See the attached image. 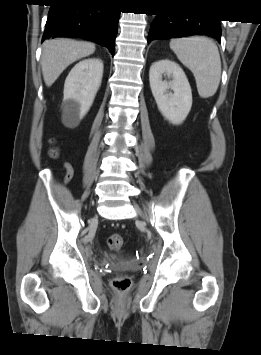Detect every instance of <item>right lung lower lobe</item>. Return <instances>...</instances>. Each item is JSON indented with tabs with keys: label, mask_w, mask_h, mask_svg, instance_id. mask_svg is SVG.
I'll use <instances>...</instances> for the list:
<instances>
[{
	"label": "right lung lower lobe",
	"mask_w": 261,
	"mask_h": 355,
	"mask_svg": "<svg viewBox=\"0 0 261 355\" xmlns=\"http://www.w3.org/2000/svg\"><path fill=\"white\" fill-rule=\"evenodd\" d=\"M42 41L84 38L105 45L114 56L120 12L104 0H52Z\"/></svg>",
	"instance_id": "1"
}]
</instances>
